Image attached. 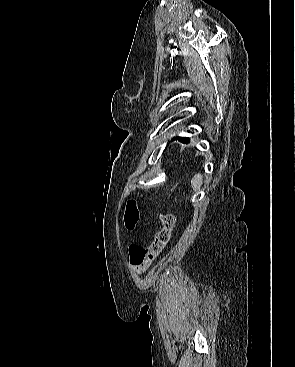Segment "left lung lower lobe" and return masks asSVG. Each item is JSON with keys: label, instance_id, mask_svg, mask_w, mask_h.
<instances>
[{"label": "left lung lower lobe", "instance_id": "1", "mask_svg": "<svg viewBox=\"0 0 295 367\" xmlns=\"http://www.w3.org/2000/svg\"><path fill=\"white\" fill-rule=\"evenodd\" d=\"M174 139L182 140V142H189V138L188 137H175Z\"/></svg>", "mask_w": 295, "mask_h": 367}]
</instances>
